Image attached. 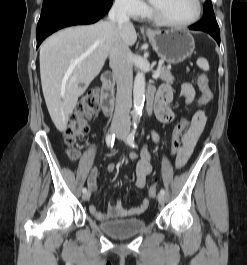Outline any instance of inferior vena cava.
Listing matches in <instances>:
<instances>
[{
	"label": "inferior vena cava",
	"mask_w": 247,
	"mask_h": 265,
	"mask_svg": "<svg viewBox=\"0 0 247 265\" xmlns=\"http://www.w3.org/2000/svg\"><path fill=\"white\" fill-rule=\"evenodd\" d=\"M109 20L118 26H132L124 1H115L109 11ZM109 59L117 83L116 106L112 124L129 130V112L132 106V53L127 45L116 39L111 45Z\"/></svg>",
	"instance_id": "obj_1"
}]
</instances>
